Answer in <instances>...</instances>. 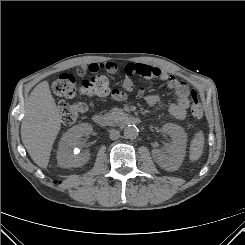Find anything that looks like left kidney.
I'll return each mask as SVG.
<instances>
[{
    "instance_id": "1",
    "label": "left kidney",
    "mask_w": 245,
    "mask_h": 245,
    "mask_svg": "<svg viewBox=\"0 0 245 245\" xmlns=\"http://www.w3.org/2000/svg\"><path fill=\"white\" fill-rule=\"evenodd\" d=\"M162 129L172 138V144L167 150L153 149V158L166 170L176 169L185 157L187 135L181 126L173 123L165 124Z\"/></svg>"
}]
</instances>
